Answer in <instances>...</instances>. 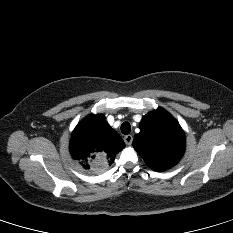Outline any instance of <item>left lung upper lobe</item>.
Returning a JSON list of instances; mask_svg holds the SVG:
<instances>
[{
  "label": "left lung upper lobe",
  "instance_id": "left-lung-upper-lobe-1",
  "mask_svg": "<svg viewBox=\"0 0 233 233\" xmlns=\"http://www.w3.org/2000/svg\"><path fill=\"white\" fill-rule=\"evenodd\" d=\"M133 147L154 171L175 166L185 150V135L179 123L163 108L145 115Z\"/></svg>",
  "mask_w": 233,
  "mask_h": 233
}]
</instances>
